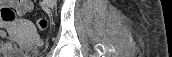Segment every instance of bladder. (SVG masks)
Returning <instances> with one entry per match:
<instances>
[{"mask_svg": "<svg viewBox=\"0 0 172 57\" xmlns=\"http://www.w3.org/2000/svg\"><path fill=\"white\" fill-rule=\"evenodd\" d=\"M0 57H25V56H23V55H21L19 53H13V54H11V53H2V54H0Z\"/></svg>", "mask_w": 172, "mask_h": 57, "instance_id": "31cf9c89", "label": "bladder"}]
</instances>
